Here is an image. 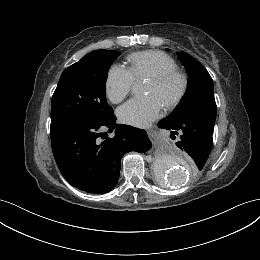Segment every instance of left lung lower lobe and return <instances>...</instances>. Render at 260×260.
<instances>
[{"mask_svg":"<svg viewBox=\"0 0 260 260\" xmlns=\"http://www.w3.org/2000/svg\"><path fill=\"white\" fill-rule=\"evenodd\" d=\"M158 126L171 130V137L179 134L176 145L192 157L199 170L204 167L212 148L213 123L196 117L179 120L166 117L158 122Z\"/></svg>","mask_w":260,"mask_h":260,"instance_id":"0a47b994","label":"left lung lower lobe"}]
</instances>
